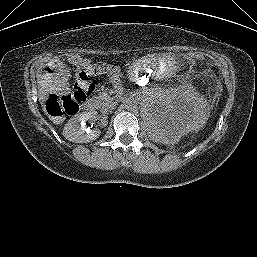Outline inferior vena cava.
Here are the masks:
<instances>
[{"label":"inferior vena cava","instance_id":"1","mask_svg":"<svg viewBox=\"0 0 257 257\" xmlns=\"http://www.w3.org/2000/svg\"><path fill=\"white\" fill-rule=\"evenodd\" d=\"M115 106H116V102L109 100L104 103V105L102 107V112L107 113V112L113 110L115 108Z\"/></svg>","mask_w":257,"mask_h":257}]
</instances>
